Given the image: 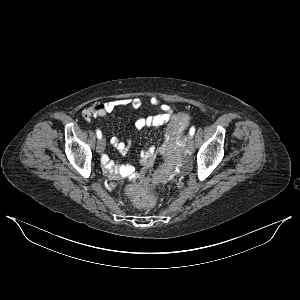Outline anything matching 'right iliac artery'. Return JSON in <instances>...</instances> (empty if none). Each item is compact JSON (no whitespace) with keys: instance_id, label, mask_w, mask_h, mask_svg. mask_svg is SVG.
Segmentation results:
<instances>
[{"instance_id":"right-iliac-artery-1","label":"right iliac artery","mask_w":300,"mask_h":300,"mask_svg":"<svg viewBox=\"0 0 300 300\" xmlns=\"http://www.w3.org/2000/svg\"><path fill=\"white\" fill-rule=\"evenodd\" d=\"M96 134H97V138L98 139L102 138V133H101V131L99 129H97Z\"/></svg>"}]
</instances>
